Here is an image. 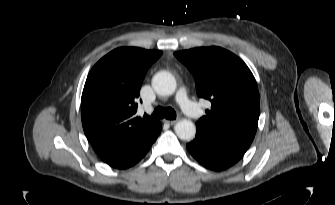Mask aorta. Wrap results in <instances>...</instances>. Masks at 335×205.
Returning <instances> with one entry per match:
<instances>
[{"label": "aorta", "instance_id": "762f6f07", "mask_svg": "<svg viewBox=\"0 0 335 205\" xmlns=\"http://www.w3.org/2000/svg\"><path fill=\"white\" fill-rule=\"evenodd\" d=\"M175 77L167 71L156 73L152 79V87L155 92L162 96L172 95L176 90ZM175 133L179 139L190 141L195 137L196 127L187 119H182L175 125Z\"/></svg>", "mask_w": 335, "mask_h": 205}]
</instances>
